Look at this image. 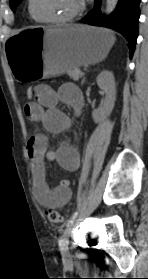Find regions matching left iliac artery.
Wrapping results in <instances>:
<instances>
[{"mask_svg":"<svg viewBox=\"0 0 148 279\" xmlns=\"http://www.w3.org/2000/svg\"><path fill=\"white\" fill-rule=\"evenodd\" d=\"M78 215V211L74 212V214L71 216V218L67 222V227H69L73 222L75 221L76 217Z\"/></svg>","mask_w":148,"mask_h":279,"instance_id":"left-iliac-artery-1","label":"left iliac artery"}]
</instances>
